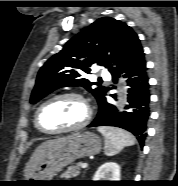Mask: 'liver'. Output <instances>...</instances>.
<instances>
[{"mask_svg":"<svg viewBox=\"0 0 178 186\" xmlns=\"http://www.w3.org/2000/svg\"><path fill=\"white\" fill-rule=\"evenodd\" d=\"M77 134L51 139L40 144L24 168V177L26 178L38 165H40L51 153L66 145L70 140L76 137Z\"/></svg>","mask_w":178,"mask_h":186,"instance_id":"6515ba94","label":"liver"}]
</instances>
